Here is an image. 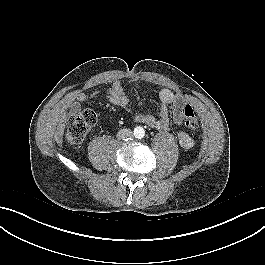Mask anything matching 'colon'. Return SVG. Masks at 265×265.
<instances>
[{
  "label": "colon",
  "mask_w": 265,
  "mask_h": 265,
  "mask_svg": "<svg viewBox=\"0 0 265 265\" xmlns=\"http://www.w3.org/2000/svg\"><path fill=\"white\" fill-rule=\"evenodd\" d=\"M97 116L91 109H83L72 114L67 121V140L70 144L80 145L87 133L96 125ZM184 124L189 130H196L199 126L198 117L191 105L184 107Z\"/></svg>",
  "instance_id": "colon-1"
}]
</instances>
